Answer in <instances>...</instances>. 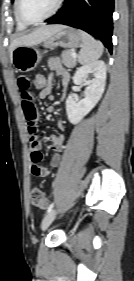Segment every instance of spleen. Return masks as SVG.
Wrapping results in <instances>:
<instances>
[{"instance_id": "obj_1", "label": "spleen", "mask_w": 134, "mask_h": 281, "mask_svg": "<svg viewBox=\"0 0 134 281\" xmlns=\"http://www.w3.org/2000/svg\"><path fill=\"white\" fill-rule=\"evenodd\" d=\"M81 36L82 46L79 52L78 61L81 64L95 62L103 53V44L84 31H81Z\"/></svg>"}]
</instances>
